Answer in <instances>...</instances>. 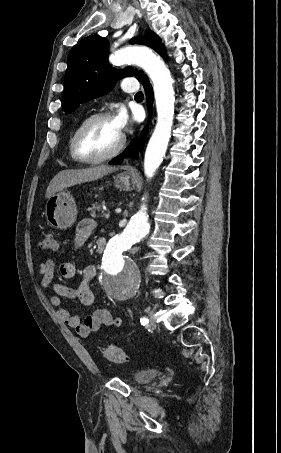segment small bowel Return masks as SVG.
<instances>
[{
    "mask_svg": "<svg viewBox=\"0 0 281 453\" xmlns=\"http://www.w3.org/2000/svg\"><path fill=\"white\" fill-rule=\"evenodd\" d=\"M96 223L91 219L80 221L77 227L76 239L74 246L80 248L86 243L90 235L95 231ZM105 242L100 240L96 245V250L101 252L104 250ZM96 266L88 264L82 271V280L77 288L67 285L56 283L54 281V263L52 260H44L37 269L39 282L43 288H51L55 290L60 296L66 297L70 300H78L83 305H91L94 300L90 282L96 273ZM60 274L63 278H74L77 275L76 266L73 262L67 261L60 266ZM60 296L53 295L50 298L53 307L58 309L60 319L67 323L76 333L82 337H90L96 332L101 325L106 326H121L123 321L120 316L111 314L107 310H95L91 316L82 322L77 313L72 312L63 306V300Z\"/></svg>",
    "mask_w": 281,
    "mask_h": 453,
    "instance_id": "c3829d8e",
    "label": "small bowel"
}]
</instances>
